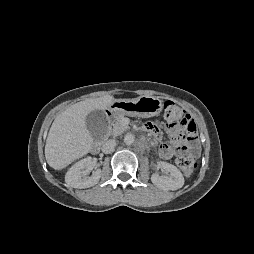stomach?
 I'll use <instances>...</instances> for the list:
<instances>
[{
    "mask_svg": "<svg viewBox=\"0 0 254 254\" xmlns=\"http://www.w3.org/2000/svg\"><path fill=\"white\" fill-rule=\"evenodd\" d=\"M162 108V100L158 97L141 96L135 99H115L108 111L113 117L128 115L149 118L158 115Z\"/></svg>",
    "mask_w": 254,
    "mask_h": 254,
    "instance_id": "0dacf381",
    "label": "stomach"
}]
</instances>
